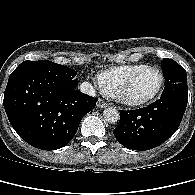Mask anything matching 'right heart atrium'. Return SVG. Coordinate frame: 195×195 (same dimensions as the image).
I'll use <instances>...</instances> for the list:
<instances>
[{
	"label": "right heart atrium",
	"mask_w": 195,
	"mask_h": 195,
	"mask_svg": "<svg viewBox=\"0 0 195 195\" xmlns=\"http://www.w3.org/2000/svg\"><path fill=\"white\" fill-rule=\"evenodd\" d=\"M96 84H97L100 88H102V89H103V87H102V85H101V83H100L99 79L96 81Z\"/></svg>",
	"instance_id": "1"
}]
</instances>
